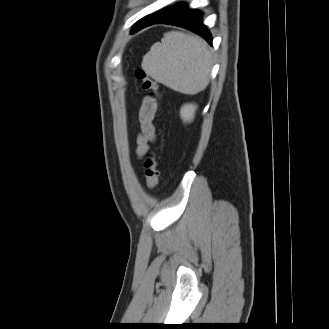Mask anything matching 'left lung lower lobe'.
I'll use <instances>...</instances> for the list:
<instances>
[{"label": "left lung lower lobe", "instance_id": "left-lung-lower-lobe-1", "mask_svg": "<svg viewBox=\"0 0 329 329\" xmlns=\"http://www.w3.org/2000/svg\"><path fill=\"white\" fill-rule=\"evenodd\" d=\"M201 15V12L188 9L186 4L179 3L142 18L133 26L131 33L153 24H169L191 30L212 45V36L202 24Z\"/></svg>", "mask_w": 329, "mask_h": 329}]
</instances>
